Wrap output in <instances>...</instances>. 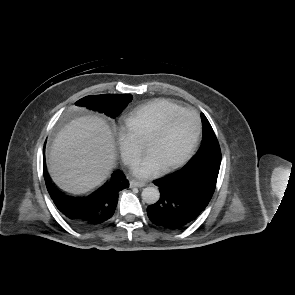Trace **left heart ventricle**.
<instances>
[{
    "mask_svg": "<svg viewBox=\"0 0 295 295\" xmlns=\"http://www.w3.org/2000/svg\"><path fill=\"white\" fill-rule=\"evenodd\" d=\"M196 130L195 118L191 114H180L168 125L158 140L145 145L161 167L179 159L189 148Z\"/></svg>",
    "mask_w": 295,
    "mask_h": 295,
    "instance_id": "b2bd125f",
    "label": "left heart ventricle"
}]
</instances>
